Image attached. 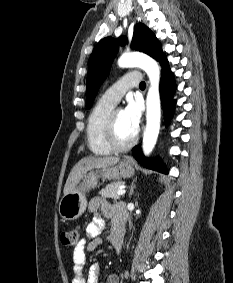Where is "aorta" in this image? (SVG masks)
Here are the masks:
<instances>
[{
	"mask_svg": "<svg viewBox=\"0 0 233 283\" xmlns=\"http://www.w3.org/2000/svg\"><path fill=\"white\" fill-rule=\"evenodd\" d=\"M121 68L140 67L150 80L146 98V129L143 135V153L148 156L152 152L160 130L161 103L159 94L160 69L157 62L143 53H126L119 60Z\"/></svg>",
	"mask_w": 233,
	"mask_h": 283,
	"instance_id": "aorta-1",
	"label": "aorta"
}]
</instances>
